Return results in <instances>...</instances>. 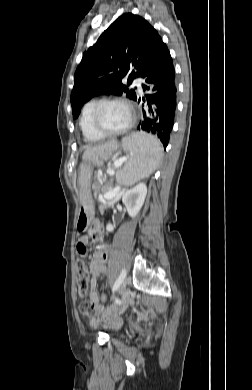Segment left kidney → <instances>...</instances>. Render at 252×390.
<instances>
[{"label": "left kidney", "instance_id": "left-kidney-1", "mask_svg": "<svg viewBox=\"0 0 252 390\" xmlns=\"http://www.w3.org/2000/svg\"><path fill=\"white\" fill-rule=\"evenodd\" d=\"M146 194L147 187L144 183L136 185L123 194L122 202L124 203L130 217L134 218L139 213L144 204ZM106 230L112 232L114 230V226L109 223L106 226Z\"/></svg>", "mask_w": 252, "mask_h": 390}]
</instances>
